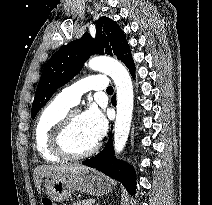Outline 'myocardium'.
I'll return each mask as SVG.
<instances>
[{"label":"myocardium","mask_w":212,"mask_h":205,"mask_svg":"<svg viewBox=\"0 0 212 205\" xmlns=\"http://www.w3.org/2000/svg\"><path fill=\"white\" fill-rule=\"evenodd\" d=\"M78 111H68L61 120L55 125L50 135V145L52 151L59 157L67 160H79L93 155L99 148L96 141L86 151L75 153L67 146V134L71 125L72 118Z\"/></svg>","instance_id":"myocardium-1"}]
</instances>
